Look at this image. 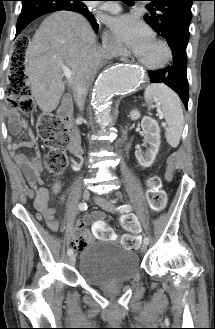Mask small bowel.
I'll use <instances>...</instances> for the list:
<instances>
[{"label":"small bowel","instance_id":"c3829d8e","mask_svg":"<svg viewBox=\"0 0 215 329\" xmlns=\"http://www.w3.org/2000/svg\"><path fill=\"white\" fill-rule=\"evenodd\" d=\"M12 130L16 133L25 130L30 135L27 140H8V148L13 153L15 160L25 175L31 189L34 191L33 203L35 209L47 222L49 227L53 230L59 228V221L55 219V208L49 206L48 202L52 194H56L61 189L59 182L55 183L51 190H48L44 186L43 179L41 177L42 166L40 163L39 155L27 157L22 153H18L17 150L23 147H29L37 149V143L31 136V130L29 129L25 120L20 118L16 113H13L10 117ZM65 195H62L61 201H64ZM95 219V220H91ZM90 227L92 236H95V242H112L114 235V225H106L105 215L101 212L94 213L91 217H85L79 219L76 224V228L72 231V246L77 251H82L90 242L93 241V237L86 229V225ZM80 234H77V233Z\"/></svg>","mask_w":215,"mask_h":329}]
</instances>
